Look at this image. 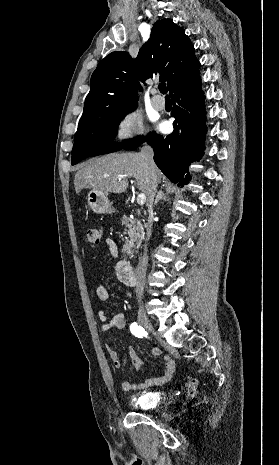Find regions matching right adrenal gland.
Instances as JSON below:
<instances>
[{
	"label": "right adrenal gland",
	"instance_id": "right-adrenal-gland-1",
	"mask_svg": "<svg viewBox=\"0 0 279 465\" xmlns=\"http://www.w3.org/2000/svg\"><path fill=\"white\" fill-rule=\"evenodd\" d=\"M160 200L169 201V198L167 199L162 189L157 192L154 205L156 206Z\"/></svg>",
	"mask_w": 279,
	"mask_h": 465
}]
</instances>
